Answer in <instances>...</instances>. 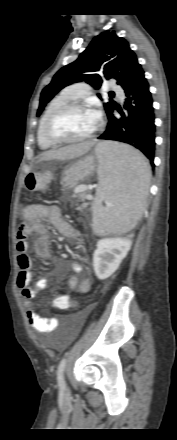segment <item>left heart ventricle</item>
I'll return each mask as SVG.
<instances>
[{
  "label": "left heart ventricle",
  "instance_id": "1",
  "mask_svg": "<svg viewBox=\"0 0 177 440\" xmlns=\"http://www.w3.org/2000/svg\"><path fill=\"white\" fill-rule=\"evenodd\" d=\"M93 128L89 111L73 110L57 121L53 131L55 134L67 139H78L88 135Z\"/></svg>",
  "mask_w": 177,
  "mask_h": 440
}]
</instances>
